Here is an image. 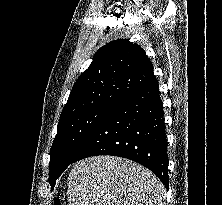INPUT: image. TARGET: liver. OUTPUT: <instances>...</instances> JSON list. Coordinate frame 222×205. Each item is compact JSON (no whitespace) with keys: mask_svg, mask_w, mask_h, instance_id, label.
I'll list each match as a JSON object with an SVG mask.
<instances>
[{"mask_svg":"<svg viewBox=\"0 0 222 205\" xmlns=\"http://www.w3.org/2000/svg\"><path fill=\"white\" fill-rule=\"evenodd\" d=\"M165 198L151 171L121 157L86 158L68 177L69 205H165Z\"/></svg>","mask_w":222,"mask_h":205,"instance_id":"obj_1","label":"liver"}]
</instances>
